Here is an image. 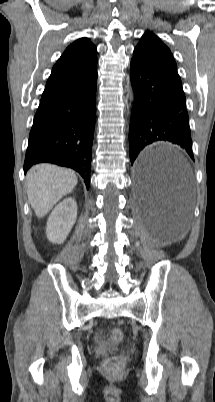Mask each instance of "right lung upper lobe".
<instances>
[{"mask_svg":"<svg viewBox=\"0 0 215 402\" xmlns=\"http://www.w3.org/2000/svg\"><path fill=\"white\" fill-rule=\"evenodd\" d=\"M97 49L88 38L69 45L52 69L40 103L80 87L97 74Z\"/></svg>","mask_w":215,"mask_h":402,"instance_id":"1","label":"right lung upper lobe"}]
</instances>
